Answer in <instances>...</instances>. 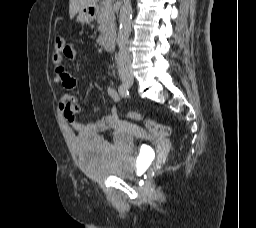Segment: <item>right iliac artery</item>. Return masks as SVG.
Wrapping results in <instances>:
<instances>
[{"label":"right iliac artery","instance_id":"obj_1","mask_svg":"<svg viewBox=\"0 0 256 228\" xmlns=\"http://www.w3.org/2000/svg\"><path fill=\"white\" fill-rule=\"evenodd\" d=\"M118 91L121 97H127L129 95L128 87L125 84H121Z\"/></svg>","mask_w":256,"mask_h":228}]
</instances>
